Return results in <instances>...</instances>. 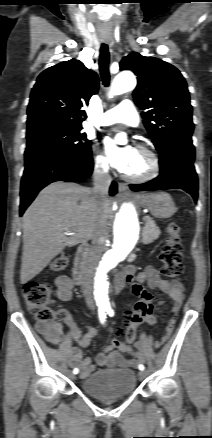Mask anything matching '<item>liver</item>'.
<instances>
[{"label": "liver", "instance_id": "1", "mask_svg": "<svg viewBox=\"0 0 212 438\" xmlns=\"http://www.w3.org/2000/svg\"><path fill=\"white\" fill-rule=\"evenodd\" d=\"M111 201L102 205L91 188L53 182L45 187L23 215L22 284L38 275L65 247L92 238L100 222L107 230Z\"/></svg>", "mask_w": 212, "mask_h": 438}]
</instances>
